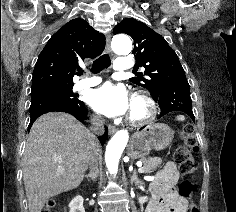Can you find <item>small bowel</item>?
<instances>
[{
	"mask_svg": "<svg viewBox=\"0 0 236 212\" xmlns=\"http://www.w3.org/2000/svg\"><path fill=\"white\" fill-rule=\"evenodd\" d=\"M179 174L173 162H167L150 184L153 199L146 212H187L188 202L176 190Z\"/></svg>",
	"mask_w": 236,
	"mask_h": 212,
	"instance_id": "c3829d8e",
	"label": "small bowel"
}]
</instances>
